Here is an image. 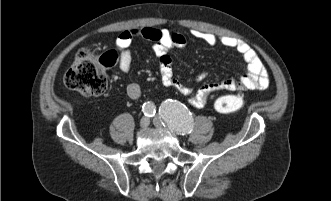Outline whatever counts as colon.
Wrapping results in <instances>:
<instances>
[{
  "mask_svg": "<svg viewBox=\"0 0 331 201\" xmlns=\"http://www.w3.org/2000/svg\"><path fill=\"white\" fill-rule=\"evenodd\" d=\"M118 59L114 51L99 53L96 50L80 51L64 76V85L86 97L104 94L107 90L106 69ZM218 97L214 102L216 111L233 113L242 109L246 103L244 91Z\"/></svg>",
  "mask_w": 331,
  "mask_h": 201,
  "instance_id": "1",
  "label": "colon"
}]
</instances>
